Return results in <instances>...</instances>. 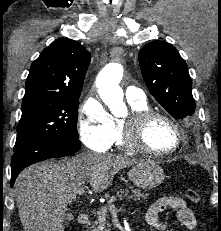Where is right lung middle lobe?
I'll list each match as a JSON object with an SVG mask.
<instances>
[{
  "instance_id": "1",
  "label": "right lung middle lobe",
  "mask_w": 221,
  "mask_h": 231,
  "mask_svg": "<svg viewBox=\"0 0 221 231\" xmlns=\"http://www.w3.org/2000/svg\"><path fill=\"white\" fill-rule=\"evenodd\" d=\"M78 99L40 97L23 101L14 151L43 139L78 142Z\"/></svg>"
}]
</instances>
